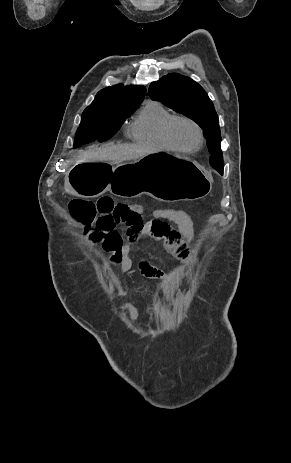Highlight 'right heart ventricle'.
<instances>
[{"label":"right heart ventricle","mask_w":291,"mask_h":463,"mask_svg":"<svg viewBox=\"0 0 291 463\" xmlns=\"http://www.w3.org/2000/svg\"><path fill=\"white\" fill-rule=\"evenodd\" d=\"M174 114L156 101H148L129 126L130 139L158 150H174L165 140L164 128Z\"/></svg>","instance_id":"right-heart-ventricle-1"}]
</instances>
